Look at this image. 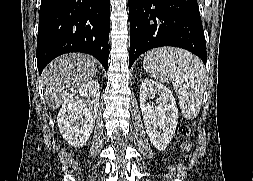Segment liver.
Instances as JSON below:
<instances>
[{"instance_id": "6515ba94", "label": "liver", "mask_w": 253, "mask_h": 181, "mask_svg": "<svg viewBox=\"0 0 253 181\" xmlns=\"http://www.w3.org/2000/svg\"><path fill=\"white\" fill-rule=\"evenodd\" d=\"M96 72V60L87 54L72 53L55 59L42 74L49 107L59 108L70 91L87 83Z\"/></svg>"}]
</instances>
